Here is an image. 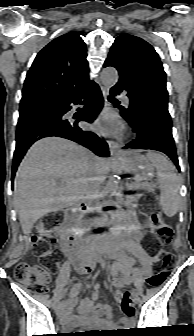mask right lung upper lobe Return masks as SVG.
<instances>
[{
  "instance_id": "cb5924a9",
  "label": "right lung upper lobe",
  "mask_w": 194,
  "mask_h": 336,
  "mask_svg": "<svg viewBox=\"0 0 194 336\" xmlns=\"http://www.w3.org/2000/svg\"><path fill=\"white\" fill-rule=\"evenodd\" d=\"M86 45L76 32L51 41L27 73L20 109L50 105L89 81Z\"/></svg>"
}]
</instances>
